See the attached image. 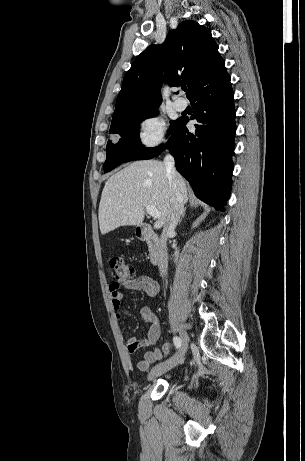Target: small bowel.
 Returning <instances> with one entry per match:
<instances>
[{
	"label": "small bowel",
	"mask_w": 305,
	"mask_h": 461,
	"mask_svg": "<svg viewBox=\"0 0 305 461\" xmlns=\"http://www.w3.org/2000/svg\"><path fill=\"white\" fill-rule=\"evenodd\" d=\"M121 288L127 290H136L146 293L149 297H154L159 291V285L149 276H141L133 280L114 281L109 285V295L113 309L116 312L118 321L124 320V315L120 312L123 295ZM141 319L148 325L146 335L143 339L129 337L126 339V348L130 354H134L142 347H151L150 351L144 353L142 359L137 360L138 369L146 371L151 364L160 360L163 354L170 350L169 344H164L162 351L157 347V341L160 337V324L155 312L148 306L140 309Z\"/></svg>",
	"instance_id": "small-bowel-1"
}]
</instances>
